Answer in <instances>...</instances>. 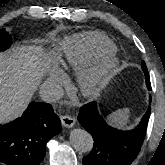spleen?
Here are the masks:
<instances>
[{"label": "spleen", "instance_id": "spleen-1", "mask_svg": "<svg viewBox=\"0 0 165 165\" xmlns=\"http://www.w3.org/2000/svg\"><path fill=\"white\" fill-rule=\"evenodd\" d=\"M128 108L119 109L108 116V121L116 127H127V122L130 117Z\"/></svg>", "mask_w": 165, "mask_h": 165}]
</instances>
